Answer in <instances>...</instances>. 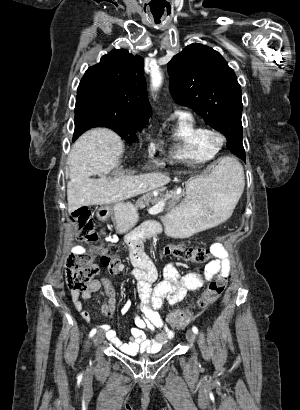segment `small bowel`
<instances>
[{"instance_id": "small-bowel-1", "label": "small bowel", "mask_w": 300, "mask_h": 410, "mask_svg": "<svg viewBox=\"0 0 300 410\" xmlns=\"http://www.w3.org/2000/svg\"><path fill=\"white\" fill-rule=\"evenodd\" d=\"M143 240L144 236L141 232L131 233L126 239L129 258L134 266L131 277L136 282L139 297V305L134 315V327L130 329L131 339L129 342H122L109 325L100 326L107 340L127 355L157 351L173 338L172 329L165 323L159 312L166 301L176 304L182 301L188 292L201 289L206 282L213 279L227 280L231 272L228 252L219 243H214L211 249L215 259L205 265L202 273H180L173 264H168L163 269V280L157 282L158 270L140 247ZM73 251L77 254L90 252L98 255L104 252V248L97 247L87 250L82 245H76ZM101 288L107 296V301L102 304L101 309L104 315L110 317L116 310V294L108 279L92 280L81 294L71 292L74 307L85 321L90 320V313L84 309L81 298L88 300ZM132 304V300L127 299L120 312L126 314ZM148 332L156 333L150 338L147 335Z\"/></svg>"}]
</instances>
